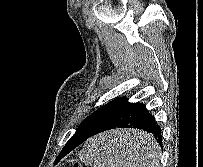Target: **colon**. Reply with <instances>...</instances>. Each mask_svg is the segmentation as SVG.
Here are the masks:
<instances>
[{
  "mask_svg": "<svg viewBox=\"0 0 203 167\" xmlns=\"http://www.w3.org/2000/svg\"><path fill=\"white\" fill-rule=\"evenodd\" d=\"M73 167H83V166L80 165L79 163H74Z\"/></svg>",
  "mask_w": 203,
  "mask_h": 167,
  "instance_id": "5ec220e1",
  "label": "colon"
}]
</instances>
